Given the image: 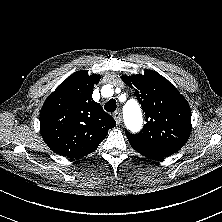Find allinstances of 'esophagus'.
Instances as JSON below:
<instances>
[{
	"label": "esophagus",
	"mask_w": 222,
	"mask_h": 222,
	"mask_svg": "<svg viewBox=\"0 0 222 222\" xmlns=\"http://www.w3.org/2000/svg\"><path fill=\"white\" fill-rule=\"evenodd\" d=\"M113 118L115 119V121H116L117 124H120V122H121V114H120L119 111H117V112H115V113L113 114Z\"/></svg>",
	"instance_id": "1"
}]
</instances>
